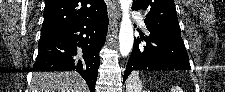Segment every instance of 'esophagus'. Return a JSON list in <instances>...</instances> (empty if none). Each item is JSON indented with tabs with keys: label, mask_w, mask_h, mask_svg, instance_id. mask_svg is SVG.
Returning <instances> with one entry per match:
<instances>
[{
	"label": "esophagus",
	"mask_w": 225,
	"mask_h": 92,
	"mask_svg": "<svg viewBox=\"0 0 225 92\" xmlns=\"http://www.w3.org/2000/svg\"><path fill=\"white\" fill-rule=\"evenodd\" d=\"M112 7H113V18H114V21H117L121 17V12H120V10L118 8V5H117V2L115 0H113Z\"/></svg>",
	"instance_id": "obj_1"
}]
</instances>
